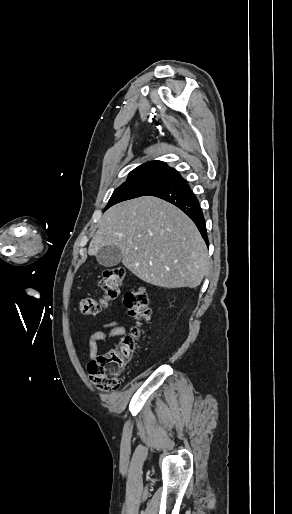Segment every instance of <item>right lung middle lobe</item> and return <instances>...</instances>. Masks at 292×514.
Returning a JSON list of instances; mask_svg holds the SVG:
<instances>
[{
    "label": "right lung middle lobe",
    "mask_w": 292,
    "mask_h": 514,
    "mask_svg": "<svg viewBox=\"0 0 292 514\" xmlns=\"http://www.w3.org/2000/svg\"><path fill=\"white\" fill-rule=\"evenodd\" d=\"M169 176L170 174L165 172L129 174L127 180L114 190L105 209L121 201L143 196L148 190Z\"/></svg>",
    "instance_id": "1"
}]
</instances>
